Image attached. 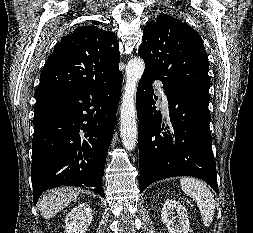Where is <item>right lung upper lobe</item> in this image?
<instances>
[{"mask_svg":"<svg viewBox=\"0 0 253 233\" xmlns=\"http://www.w3.org/2000/svg\"><path fill=\"white\" fill-rule=\"evenodd\" d=\"M119 62V44L113 32L99 21L78 27L55 45L35 97L104 81L119 71Z\"/></svg>","mask_w":253,"mask_h":233,"instance_id":"right-lung-upper-lobe-1","label":"right lung upper lobe"}]
</instances>
